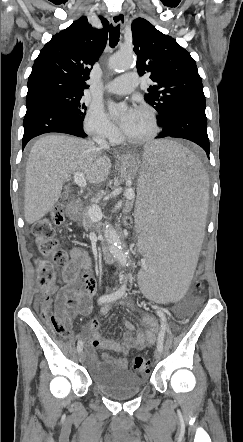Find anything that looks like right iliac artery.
Here are the masks:
<instances>
[{"mask_svg":"<svg viewBox=\"0 0 243 442\" xmlns=\"http://www.w3.org/2000/svg\"><path fill=\"white\" fill-rule=\"evenodd\" d=\"M125 290H126V284L124 283L118 290H116L110 294H106V295L101 296L98 299V303L102 304V303L114 302V301L120 299L125 294ZM82 350H83V342H82V340H80L77 345V351L80 353Z\"/></svg>","mask_w":243,"mask_h":442,"instance_id":"right-iliac-artery-1","label":"right iliac artery"}]
</instances>
